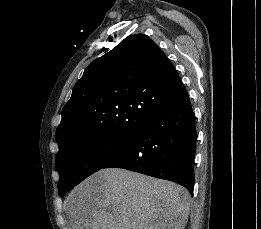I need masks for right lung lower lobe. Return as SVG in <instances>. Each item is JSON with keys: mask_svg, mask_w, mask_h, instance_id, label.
Instances as JSON below:
<instances>
[{"mask_svg": "<svg viewBox=\"0 0 261 229\" xmlns=\"http://www.w3.org/2000/svg\"><path fill=\"white\" fill-rule=\"evenodd\" d=\"M197 131L185 87L138 132L129 147L103 168H123L194 189Z\"/></svg>", "mask_w": 261, "mask_h": 229, "instance_id": "1", "label": "right lung lower lobe"}]
</instances>
